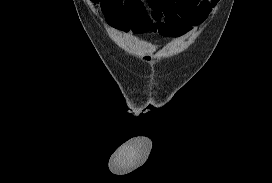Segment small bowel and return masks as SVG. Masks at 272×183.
I'll return each mask as SVG.
<instances>
[{
	"label": "small bowel",
	"mask_w": 272,
	"mask_h": 183,
	"mask_svg": "<svg viewBox=\"0 0 272 183\" xmlns=\"http://www.w3.org/2000/svg\"><path fill=\"white\" fill-rule=\"evenodd\" d=\"M216 0H100L98 4L116 29L133 34L151 30L177 37L200 24Z\"/></svg>",
	"instance_id": "small-bowel-1"
}]
</instances>
